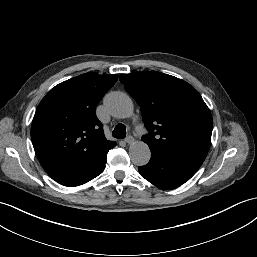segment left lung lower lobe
Instances as JSON below:
<instances>
[{
	"instance_id": "0a47b994",
	"label": "left lung lower lobe",
	"mask_w": 257,
	"mask_h": 257,
	"mask_svg": "<svg viewBox=\"0 0 257 257\" xmlns=\"http://www.w3.org/2000/svg\"><path fill=\"white\" fill-rule=\"evenodd\" d=\"M207 153L201 151L164 152L151 149V159L138 168L140 174L160 188L170 189L188 181L199 169Z\"/></svg>"
}]
</instances>
